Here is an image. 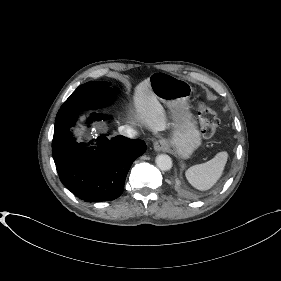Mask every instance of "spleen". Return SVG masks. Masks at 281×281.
Instances as JSON below:
<instances>
[{"label":"spleen","mask_w":281,"mask_h":281,"mask_svg":"<svg viewBox=\"0 0 281 281\" xmlns=\"http://www.w3.org/2000/svg\"><path fill=\"white\" fill-rule=\"evenodd\" d=\"M227 158V152H219L213 159L191 166L186 171L188 182L198 190L210 189L221 177Z\"/></svg>","instance_id":"spleen-1"}]
</instances>
